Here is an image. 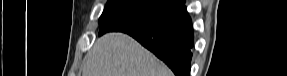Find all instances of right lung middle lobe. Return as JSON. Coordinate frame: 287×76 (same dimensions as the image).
Instances as JSON below:
<instances>
[{
  "mask_svg": "<svg viewBox=\"0 0 287 76\" xmlns=\"http://www.w3.org/2000/svg\"><path fill=\"white\" fill-rule=\"evenodd\" d=\"M175 6V0H109L99 19V35L142 30Z\"/></svg>",
  "mask_w": 287,
  "mask_h": 76,
  "instance_id": "dd1d6c3e",
  "label": "right lung middle lobe"
}]
</instances>
